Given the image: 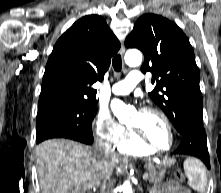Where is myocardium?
I'll use <instances>...</instances> for the list:
<instances>
[{
    "mask_svg": "<svg viewBox=\"0 0 221 193\" xmlns=\"http://www.w3.org/2000/svg\"><path fill=\"white\" fill-rule=\"evenodd\" d=\"M143 113H154L156 115H158L166 124L167 129L169 131V136H170V144L167 148H160L158 146H156L155 144H153L152 142H150L145 136L144 134L140 131L137 130L134 127L129 126V130L131 131V133L133 134V136L135 137V139L140 142L143 146H145L146 148H148L150 151H157V152H167L170 151L175 143V133H174V128L172 126L171 121L169 120V118L167 117V115L161 111L160 109L156 108V107H152V106H146L142 109Z\"/></svg>",
    "mask_w": 221,
    "mask_h": 193,
    "instance_id": "myocardium-1",
    "label": "myocardium"
}]
</instances>
